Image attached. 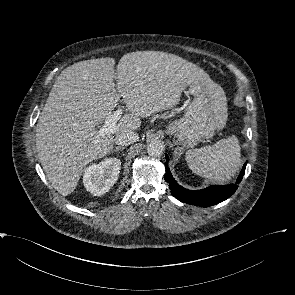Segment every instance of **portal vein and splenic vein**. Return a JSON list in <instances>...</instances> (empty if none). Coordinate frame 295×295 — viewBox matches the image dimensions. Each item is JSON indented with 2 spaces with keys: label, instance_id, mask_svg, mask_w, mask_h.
Segmentation results:
<instances>
[{
  "label": "portal vein and splenic vein",
  "instance_id": "1",
  "mask_svg": "<svg viewBox=\"0 0 295 295\" xmlns=\"http://www.w3.org/2000/svg\"><path fill=\"white\" fill-rule=\"evenodd\" d=\"M123 113L122 108H118L113 114L109 115L105 119V124L98 131L100 136L110 135L116 132L118 126L117 121L121 118Z\"/></svg>",
  "mask_w": 295,
  "mask_h": 295
}]
</instances>
